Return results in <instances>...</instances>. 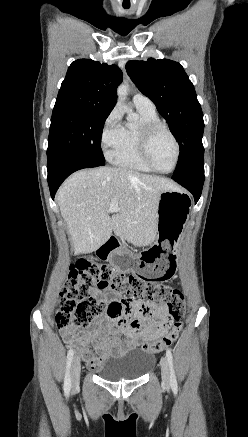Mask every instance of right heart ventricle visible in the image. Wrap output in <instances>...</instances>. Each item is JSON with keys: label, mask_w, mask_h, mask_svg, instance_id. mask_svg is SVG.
I'll return each mask as SVG.
<instances>
[{"label": "right heart ventricle", "mask_w": 248, "mask_h": 437, "mask_svg": "<svg viewBox=\"0 0 248 437\" xmlns=\"http://www.w3.org/2000/svg\"><path fill=\"white\" fill-rule=\"evenodd\" d=\"M139 121L122 126L120 143L112 155L113 162L123 168L149 173L152 170L143 162L139 152V130L147 123L160 121L156 110L137 108Z\"/></svg>", "instance_id": "right-heart-ventricle-1"}]
</instances>
